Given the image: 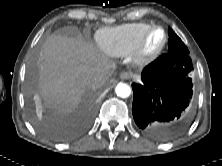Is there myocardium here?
I'll return each mask as SVG.
<instances>
[{"label":"myocardium","instance_id":"myocardium-1","mask_svg":"<svg viewBox=\"0 0 222 166\" xmlns=\"http://www.w3.org/2000/svg\"><path fill=\"white\" fill-rule=\"evenodd\" d=\"M155 30H161L163 33V39L160 45L152 50V51H147L145 49V45L147 42L148 37L150 34L155 31ZM168 36L166 30L160 26V25H151L149 26L140 36L138 42L136 43L135 47L133 48L131 52L132 60L134 61L135 64L137 65H146L154 60H156L162 51L164 50L166 44H167Z\"/></svg>","mask_w":222,"mask_h":166}]
</instances>
